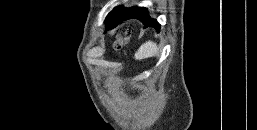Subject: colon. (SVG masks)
Here are the masks:
<instances>
[{
    "mask_svg": "<svg viewBox=\"0 0 257 130\" xmlns=\"http://www.w3.org/2000/svg\"><path fill=\"white\" fill-rule=\"evenodd\" d=\"M129 37V33H126L124 36L118 38L115 42V50L120 51L123 46L125 45V43L127 42Z\"/></svg>",
    "mask_w": 257,
    "mask_h": 130,
    "instance_id": "5ec220e1",
    "label": "colon"
}]
</instances>
